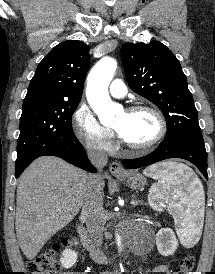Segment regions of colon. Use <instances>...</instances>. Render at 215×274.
I'll use <instances>...</instances> for the list:
<instances>
[{
  "instance_id": "colon-1",
  "label": "colon",
  "mask_w": 215,
  "mask_h": 274,
  "mask_svg": "<svg viewBox=\"0 0 215 274\" xmlns=\"http://www.w3.org/2000/svg\"><path fill=\"white\" fill-rule=\"evenodd\" d=\"M73 243L74 241L72 239H63L35 261L31 262L29 264V270L32 274H56L60 268L58 255L63 249L71 247ZM193 267L194 258L192 256H186L181 260L179 268L176 269L173 274H190Z\"/></svg>"
}]
</instances>
